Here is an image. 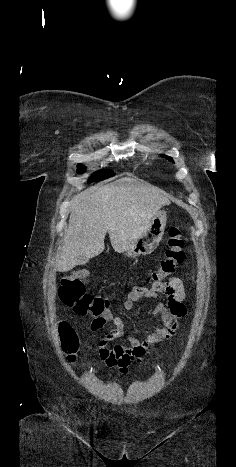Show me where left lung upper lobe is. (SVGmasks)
<instances>
[{"instance_id":"5c2ea615","label":"left lung upper lobe","mask_w":236,"mask_h":467,"mask_svg":"<svg viewBox=\"0 0 236 467\" xmlns=\"http://www.w3.org/2000/svg\"><path fill=\"white\" fill-rule=\"evenodd\" d=\"M163 157H165V158L168 159V160H172L171 157H168V156H165V155H163Z\"/></svg>"}]
</instances>
